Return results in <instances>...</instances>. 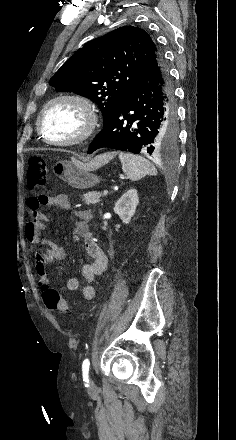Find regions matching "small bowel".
<instances>
[{
  "mask_svg": "<svg viewBox=\"0 0 236 440\" xmlns=\"http://www.w3.org/2000/svg\"><path fill=\"white\" fill-rule=\"evenodd\" d=\"M43 207L66 209L70 207V199L65 194L56 196L36 195L29 199V215L25 224V237L34 247L39 248L34 253L35 271L39 278V286L47 285V267L55 262L66 258V251L63 246L43 236L47 228L48 215ZM92 218L90 210H81L76 213L73 241L77 244L83 243L87 255L92 259L81 268V275L91 282L95 277L101 275L108 266V257L96 242L89 231L88 223ZM80 287L78 278H70L66 283L68 291H76ZM82 295L85 300H92L95 297V288L87 284L82 288Z\"/></svg>",
  "mask_w": 236,
  "mask_h": 440,
  "instance_id": "1",
  "label": "small bowel"
}]
</instances>
